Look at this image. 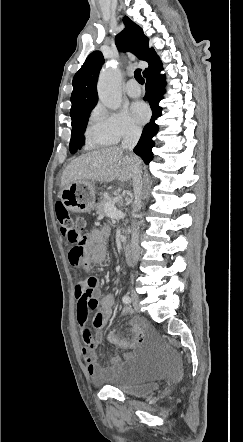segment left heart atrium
<instances>
[{
  "mask_svg": "<svg viewBox=\"0 0 243 442\" xmlns=\"http://www.w3.org/2000/svg\"><path fill=\"white\" fill-rule=\"evenodd\" d=\"M131 111H132L134 118L139 123L145 122L148 119L149 114H150L148 106L142 101L134 102L131 106Z\"/></svg>",
  "mask_w": 243,
  "mask_h": 442,
  "instance_id": "39dd6f15",
  "label": "left heart atrium"
}]
</instances>
